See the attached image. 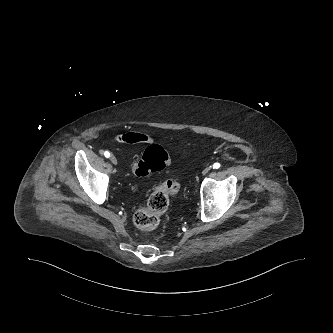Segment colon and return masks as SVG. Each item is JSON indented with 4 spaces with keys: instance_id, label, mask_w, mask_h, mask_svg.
<instances>
[{
    "instance_id": "colon-1",
    "label": "colon",
    "mask_w": 333,
    "mask_h": 333,
    "mask_svg": "<svg viewBox=\"0 0 333 333\" xmlns=\"http://www.w3.org/2000/svg\"><path fill=\"white\" fill-rule=\"evenodd\" d=\"M169 164L167 152L160 145L149 146L140 159L132 164L135 175L144 177L151 172L160 171ZM180 185L174 180L163 182L148 198L147 204L138 209L133 217L136 227L142 230H152L160 222L161 216L169 206V197L179 192Z\"/></svg>"
}]
</instances>
